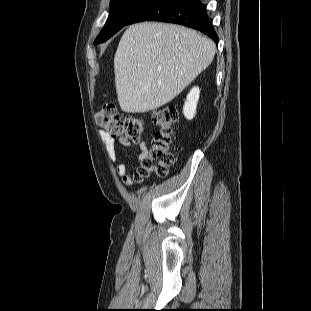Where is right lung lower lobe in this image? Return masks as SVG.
Returning a JSON list of instances; mask_svg holds the SVG:
<instances>
[{"instance_id":"1","label":"right lung lower lobe","mask_w":311,"mask_h":311,"mask_svg":"<svg viewBox=\"0 0 311 311\" xmlns=\"http://www.w3.org/2000/svg\"><path fill=\"white\" fill-rule=\"evenodd\" d=\"M141 21L184 25L206 34L218 43V36L200 0H155L137 12L127 25Z\"/></svg>"}]
</instances>
